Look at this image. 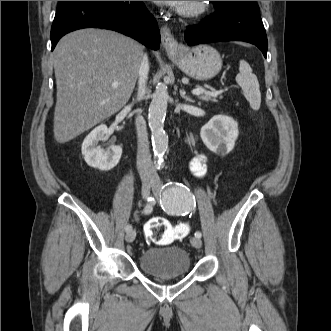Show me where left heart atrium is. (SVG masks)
I'll list each match as a JSON object with an SVG mask.
<instances>
[{"label": "left heart atrium", "instance_id": "left-heart-atrium-1", "mask_svg": "<svg viewBox=\"0 0 331 331\" xmlns=\"http://www.w3.org/2000/svg\"><path fill=\"white\" fill-rule=\"evenodd\" d=\"M158 5H169V6H179L184 3V1H153Z\"/></svg>", "mask_w": 331, "mask_h": 331}]
</instances>
